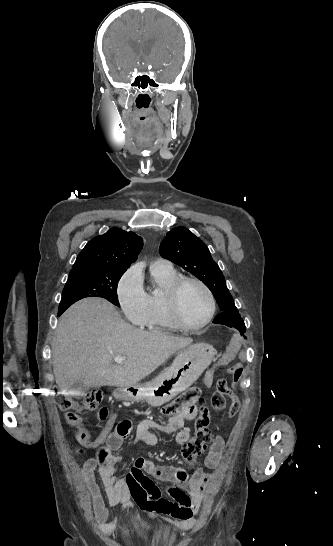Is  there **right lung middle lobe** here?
Here are the masks:
<instances>
[{
  "instance_id": "dd1d6c3e",
  "label": "right lung middle lobe",
  "mask_w": 333,
  "mask_h": 546,
  "mask_svg": "<svg viewBox=\"0 0 333 546\" xmlns=\"http://www.w3.org/2000/svg\"><path fill=\"white\" fill-rule=\"evenodd\" d=\"M125 271L93 267L83 273L69 275L59 310L65 311L74 302L85 297H102L119 307L117 285Z\"/></svg>"
}]
</instances>
